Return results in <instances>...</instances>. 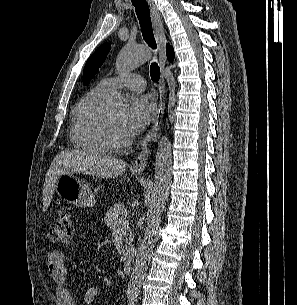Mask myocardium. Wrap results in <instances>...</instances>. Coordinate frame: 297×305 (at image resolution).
<instances>
[{"label":"myocardium","instance_id":"1","mask_svg":"<svg viewBox=\"0 0 297 305\" xmlns=\"http://www.w3.org/2000/svg\"><path fill=\"white\" fill-rule=\"evenodd\" d=\"M101 136L107 148L116 152H120L127 149L132 141L131 138H127L122 141L116 139L108 114L104 115L102 121Z\"/></svg>","mask_w":297,"mask_h":305}]
</instances>
